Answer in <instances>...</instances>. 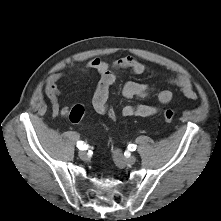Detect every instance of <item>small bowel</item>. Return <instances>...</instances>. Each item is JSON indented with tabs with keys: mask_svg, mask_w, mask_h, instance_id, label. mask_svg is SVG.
<instances>
[{
	"mask_svg": "<svg viewBox=\"0 0 221 221\" xmlns=\"http://www.w3.org/2000/svg\"><path fill=\"white\" fill-rule=\"evenodd\" d=\"M120 70H128L134 75H140L145 72L146 66L133 56L122 57L113 63H108L96 57L90 59L80 71L81 74L96 72L99 75V82L92 101L97 113L105 114V105L109 102L110 88L116 81V72ZM64 77L61 73H55L50 76L45 84V93L51 102L53 117H67L70 112L69 107L61 106L59 103L60 90L57 83ZM170 83L177 87L186 98H196V93L190 81L184 75H177L170 80ZM148 93L149 88L144 83L130 81L122 87V94L126 98L146 97ZM172 98L173 92L164 89L158 93L157 105H126L122 108L121 113L125 117H150L157 114L163 106L168 105L172 101Z\"/></svg>",
	"mask_w": 221,
	"mask_h": 221,
	"instance_id": "small-bowel-1",
	"label": "small bowel"
}]
</instances>
